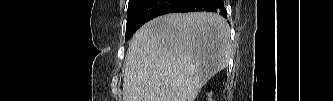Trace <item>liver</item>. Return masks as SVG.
I'll list each match as a JSON object with an SVG mask.
<instances>
[{
  "instance_id": "obj_1",
  "label": "liver",
  "mask_w": 333,
  "mask_h": 101,
  "mask_svg": "<svg viewBox=\"0 0 333 101\" xmlns=\"http://www.w3.org/2000/svg\"><path fill=\"white\" fill-rule=\"evenodd\" d=\"M231 56L230 28L215 13H171L143 25L126 54L123 101H195Z\"/></svg>"
}]
</instances>
